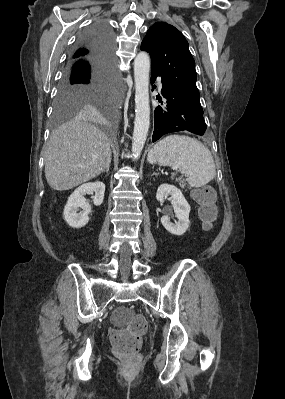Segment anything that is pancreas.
Masks as SVG:
<instances>
[{
  "label": "pancreas",
  "mask_w": 285,
  "mask_h": 399,
  "mask_svg": "<svg viewBox=\"0 0 285 399\" xmlns=\"http://www.w3.org/2000/svg\"><path fill=\"white\" fill-rule=\"evenodd\" d=\"M177 181L179 182L181 188H184V187H185L186 184L184 183V180H182V179H177Z\"/></svg>",
  "instance_id": "obj_1"
}]
</instances>
